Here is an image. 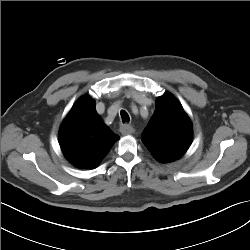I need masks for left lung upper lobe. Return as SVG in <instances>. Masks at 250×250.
Masks as SVG:
<instances>
[{
    "instance_id": "obj_1",
    "label": "left lung upper lobe",
    "mask_w": 250,
    "mask_h": 250,
    "mask_svg": "<svg viewBox=\"0 0 250 250\" xmlns=\"http://www.w3.org/2000/svg\"><path fill=\"white\" fill-rule=\"evenodd\" d=\"M192 126L177 99L165 93L156 101V109L142 133L141 140L160 162L180 158L192 141Z\"/></svg>"
}]
</instances>
